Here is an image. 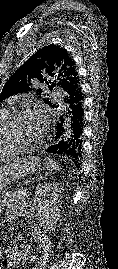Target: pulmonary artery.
Masks as SVG:
<instances>
[{"instance_id":"1","label":"pulmonary artery","mask_w":118,"mask_h":269,"mask_svg":"<svg viewBox=\"0 0 118 269\" xmlns=\"http://www.w3.org/2000/svg\"><path fill=\"white\" fill-rule=\"evenodd\" d=\"M53 97L57 100V101H61V93L56 91L54 94H53Z\"/></svg>"}]
</instances>
